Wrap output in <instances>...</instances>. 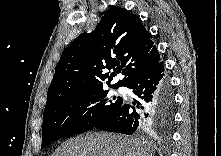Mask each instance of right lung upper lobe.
Here are the masks:
<instances>
[{
	"mask_svg": "<svg viewBox=\"0 0 221 156\" xmlns=\"http://www.w3.org/2000/svg\"><path fill=\"white\" fill-rule=\"evenodd\" d=\"M160 55L139 16L125 8L108 11L96 29L83 33L67 47L56 65L45 108L73 92L103 89L113 69L123 80L109 85L126 86L129 81L157 65Z\"/></svg>",
	"mask_w": 221,
	"mask_h": 156,
	"instance_id": "right-lung-upper-lobe-1",
	"label": "right lung upper lobe"
}]
</instances>
